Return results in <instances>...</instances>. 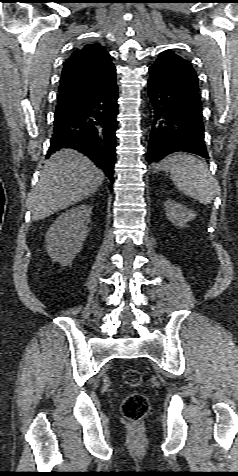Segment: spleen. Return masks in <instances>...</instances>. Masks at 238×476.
<instances>
[{"instance_id": "3e777b00", "label": "spleen", "mask_w": 238, "mask_h": 476, "mask_svg": "<svg viewBox=\"0 0 238 476\" xmlns=\"http://www.w3.org/2000/svg\"><path fill=\"white\" fill-rule=\"evenodd\" d=\"M160 169L170 172L178 190L208 205L214 197L213 178L207 164L189 154L176 153L159 164Z\"/></svg>"}]
</instances>
